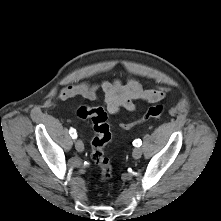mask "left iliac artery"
<instances>
[{"label": "left iliac artery", "mask_w": 221, "mask_h": 221, "mask_svg": "<svg viewBox=\"0 0 221 221\" xmlns=\"http://www.w3.org/2000/svg\"><path fill=\"white\" fill-rule=\"evenodd\" d=\"M133 145L136 147H140L142 145V141L140 139L134 140Z\"/></svg>", "instance_id": "1"}]
</instances>
